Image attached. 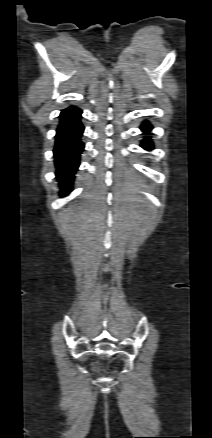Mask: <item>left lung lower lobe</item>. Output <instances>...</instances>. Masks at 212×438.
I'll return each instance as SVG.
<instances>
[{
  "instance_id": "obj_1",
  "label": "left lung lower lobe",
  "mask_w": 212,
  "mask_h": 438,
  "mask_svg": "<svg viewBox=\"0 0 212 438\" xmlns=\"http://www.w3.org/2000/svg\"><path fill=\"white\" fill-rule=\"evenodd\" d=\"M151 128H152V127H151L150 124L147 123V122H145V123L142 125V127H141L142 131H144V132H149V131L151 130ZM141 146H142L144 149H147V150H151V149H153V145H152V142H151L150 139H146V140H144V141L142 142Z\"/></svg>"
}]
</instances>
